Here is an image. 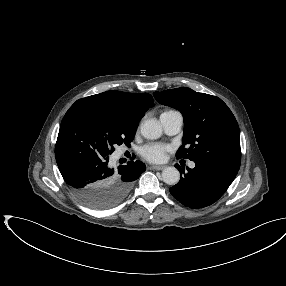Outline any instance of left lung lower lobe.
<instances>
[{"label":"left lung lower lobe","instance_id":"left-lung-lower-lobe-1","mask_svg":"<svg viewBox=\"0 0 286 286\" xmlns=\"http://www.w3.org/2000/svg\"><path fill=\"white\" fill-rule=\"evenodd\" d=\"M180 181L171 187L170 193L183 205L190 208H203L216 202L235 179L238 170L209 161L195 162V168L187 167V173L175 165Z\"/></svg>","mask_w":286,"mask_h":286}]
</instances>
